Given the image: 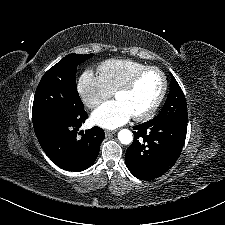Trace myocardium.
<instances>
[{"mask_svg":"<svg viewBox=\"0 0 225 225\" xmlns=\"http://www.w3.org/2000/svg\"><path fill=\"white\" fill-rule=\"evenodd\" d=\"M148 71H154L160 75L161 88H160V92H159L156 100L152 104V106L144 113L133 116L134 120H136V121H143V120L149 119L151 116L154 115V113L159 108L161 102L163 101L166 90H167V79H166V76L163 73V71L155 66H146V67L138 70L136 73H134L130 77V79L125 84H123L121 87H119L114 93V96L116 97L119 93H126V92L131 91L134 88V86L136 85V83L138 82V80L141 78V76L144 75Z\"/></svg>","mask_w":225,"mask_h":225,"instance_id":"f54148a6","label":"myocardium"}]
</instances>
